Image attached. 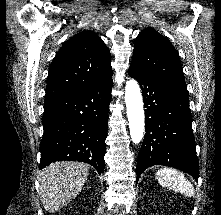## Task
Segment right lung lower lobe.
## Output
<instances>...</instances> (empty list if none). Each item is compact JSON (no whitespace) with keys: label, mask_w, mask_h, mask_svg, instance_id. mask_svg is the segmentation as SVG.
Returning a JSON list of instances; mask_svg holds the SVG:
<instances>
[{"label":"right lung lower lobe","mask_w":221,"mask_h":215,"mask_svg":"<svg viewBox=\"0 0 221 215\" xmlns=\"http://www.w3.org/2000/svg\"><path fill=\"white\" fill-rule=\"evenodd\" d=\"M112 76L62 100L44 105L39 169L72 160L104 172Z\"/></svg>","instance_id":"obj_1"}]
</instances>
